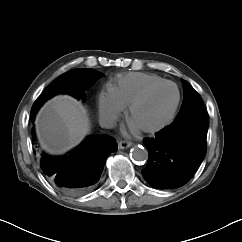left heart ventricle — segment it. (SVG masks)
<instances>
[{"label": "left heart ventricle", "mask_w": 242, "mask_h": 242, "mask_svg": "<svg viewBox=\"0 0 242 242\" xmlns=\"http://www.w3.org/2000/svg\"><path fill=\"white\" fill-rule=\"evenodd\" d=\"M177 98L172 85L157 89L144 103L139 105L131 118L137 128H150L163 123L171 113Z\"/></svg>", "instance_id": "left-heart-ventricle-1"}]
</instances>
